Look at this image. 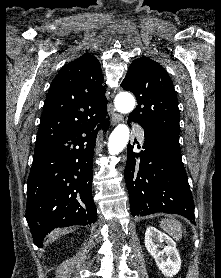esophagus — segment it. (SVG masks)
<instances>
[{"label": "esophagus", "mask_w": 221, "mask_h": 278, "mask_svg": "<svg viewBox=\"0 0 221 278\" xmlns=\"http://www.w3.org/2000/svg\"><path fill=\"white\" fill-rule=\"evenodd\" d=\"M122 120H123V117H122L121 114H118V113H115V112L112 113L113 125H116L117 123L121 122Z\"/></svg>", "instance_id": "esophagus-1"}]
</instances>
